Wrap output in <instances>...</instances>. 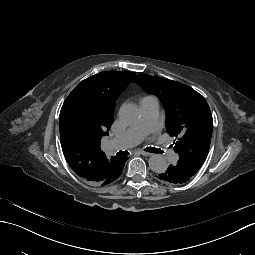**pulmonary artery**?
I'll use <instances>...</instances> for the list:
<instances>
[{"instance_id":"obj_1","label":"pulmonary artery","mask_w":255,"mask_h":255,"mask_svg":"<svg viewBox=\"0 0 255 255\" xmlns=\"http://www.w3.org/2000/svg\"><path fill=\"white\" fill-rule=\"evenodd\" d=\"M141 120L138 125L129 128L117 137L109 140L106 144L107 154L112 155L119 150H126L139 144L144 136H151L156 140L155 145L160 151L167 152V159L175 163L178 161V154L173 151L171 145H165V141L159 138L156 133L161 129L162 123L158 120L159 102L157 99L143 100L140 103Z\"/></svg>"}]
</instances>
